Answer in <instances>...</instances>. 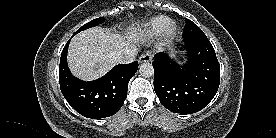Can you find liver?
Here are the masks:
<instances>
[{
    "mask_svg": "<svg viewBox=\"0 0 276 138\" xmlns=\"http://www.w3.org/2000/svg\"><path fill=\"white\" fill-rule=\"evenodd\" d=\"M138 29L122 36L109 29L94 27L72 38L68 49V64L71 72L86 81L97 79L117 64L115 54L131 47L139 39Z\"/></svg>",
    "mask_w": 276,
    "mask_h": 138,
    "instance_id": "obj_1",
    "label": "liver"
}]
</instances>
